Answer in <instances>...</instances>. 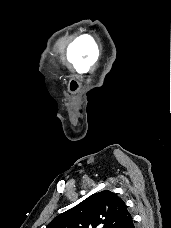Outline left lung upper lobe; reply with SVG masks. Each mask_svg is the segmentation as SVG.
I'll return each instance as SVG.
<instances>
[{
    "mask_svg": "<svg viewBox=\"0 0 171 228\" xmlns=\"http://www.w3.org/2000/svg\"><path fill=\"white\" fill-rule=\"evenodd\" d=\"M129 218L125 202L104 190L62 213L47 228H122Z\"/></svg>",
    "mask_w": 171,
    "mask_h": 228,
    "instance_id": "5c2ea615",
    "label": "left lung upper lobe"
}]
</instances>
